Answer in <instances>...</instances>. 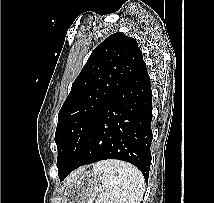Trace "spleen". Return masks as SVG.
I'll use <instances>...</instances> for the list:
<instances>
[{
  "mask_svg": "<svg viewBox=\"0 0 214 203\" xmlns=\"http://www.w3.org/2000/svg\"><path fill=\"white\" fill-rule=\"evenodd\" d=\"M93 173L101 181L96 203H141L145 182L136 167L117 160H106L96 163Z\"/></svg>",
  "mask_w": 214,
  "mask_h": 203,
  "instance_id": "obj_1",
  "label": "spleen"
}]
</instances>
